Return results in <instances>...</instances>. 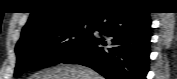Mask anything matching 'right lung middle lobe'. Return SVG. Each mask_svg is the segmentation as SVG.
<instances>
[{
    "mask_svg": "<svg viewBox=\"0 0 177 79\" xmlns=\"http://www.w3.org/2000/svg\"><path fill=\"white\" fill-rule=\"evenodd\" d=\"M92 21H75L36 30L18 41L15 77L30 69L59 64L91 34Z\"/></svg>",
    "mask_w": 177,
    "mask_h": 79,
    "instance_id": "dd1d6c3e",
    "label": "right lung middle lobe"
}]
</instances>
